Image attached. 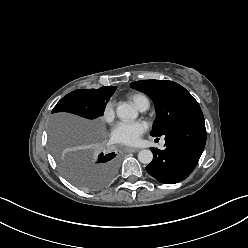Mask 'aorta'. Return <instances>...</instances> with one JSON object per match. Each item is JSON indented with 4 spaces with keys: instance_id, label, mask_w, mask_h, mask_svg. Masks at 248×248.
I'll use <instances>...</instances> for the list:
<instances>
[{
    "instance_id": "1",
    "label": "aorta",
    "mask_w": 248,
    "mask_h": 248,
    "mask_svg": "<svg viewBox=\"0 0 248 248\" xmlns=\"http://www.w3.org/2000/svg\"><path fill=\"white\" fill-rule=\"evenodd\" d=\"M116 114L120 119H135L138 116L137 111L128 103H121L116 108ZM153 159L151 150L144 149L138 153V160L143 164H149Z\"/></svg>"
}]
</instances>
